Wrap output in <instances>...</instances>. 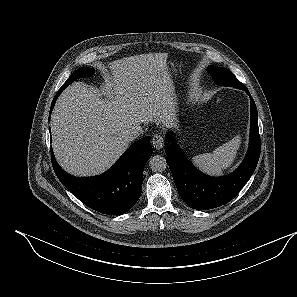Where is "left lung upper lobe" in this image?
I'll list each match as a JSON object with an SVG mask.
<instances>
[{
	"mask_svg": "<svg viewBox=\"0 0 297 297\" xmlns=\"http://www.w3.org/2000/svg\"><path fill=\"white\" fill-rule=\"evenodd\" d=\"M207 72L212 76L213 81L221 86H233L238 89H244L246 86L241 83L235 75L226 68L209 67Z\"/></svg>",
	"mask_w": 297,
	"mask_h": 297,
	"instance_id": "left-lung-upper-lobe-1",
	"label": "left lung upper lobe"
}]
</instances>
